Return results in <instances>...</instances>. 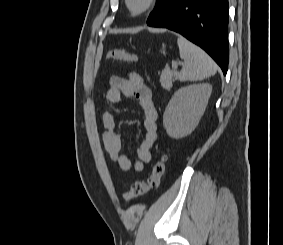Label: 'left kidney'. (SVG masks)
<instances>
[{
	"label": "left kidney",
	"mask_w": 283,
	"mask_h": 245,
	"mask_svg": "<svg viewBox=\"0 0 283 245\" xmlns=\"http://www.w3.org/2000/svg\"><path fill=\"white\" fill-rule=\"evenodd\" d=\"M211 92L212 86L202 83L174 93L163 115V125L170 137L178 139L191 134L206 109Z\"/></svg>",
	"instance_id": "1"
}]
</instances>
